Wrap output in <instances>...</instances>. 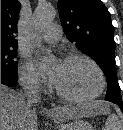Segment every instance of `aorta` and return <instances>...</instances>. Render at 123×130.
<instances>
[{"label":"aorta","instance_id":"obj_1","mask_svg":"<svg viewBox=\"0 0 123 130\" xmlns=\"http://www.w3.org/2000/svg\"><path fill=\"white\" fill-rule=\"evenodd\" d=\"M56 11L51 6H38L33 14V24L37 31L48 27L55 18Z\"/></svg>","mask_w":123,"mask_h":130}]
</instances>
